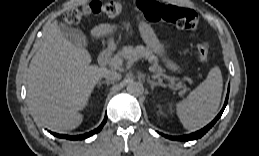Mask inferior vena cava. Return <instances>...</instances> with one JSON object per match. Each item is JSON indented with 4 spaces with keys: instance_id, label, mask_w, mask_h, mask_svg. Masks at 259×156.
<instances>
[{
    "instance_id": "602c4592",
    "label": "inferior vena cava",
    "mask_w": 259,
    "mask_h": 156,
    "mask_svg": "<svg viewBox=\"0 0 259 156\" xmlns=\"http://www.w3.org/2000/svg\"><path fill=\"white\" fill-rule=\"evenodd\" d=\"M103 77L108 81H117L121 79V74L117 73L116 71L107 70Z\"/></svg>"
}]
</instances>
